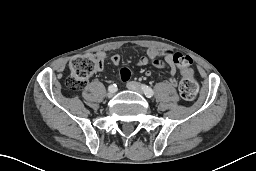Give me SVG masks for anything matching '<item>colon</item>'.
<instances>
[{"mask_svg": "<svg viewBox=\"0 0 256 171\" xmlns=\"http://www.w3.org/2000/svg\"><path fill=\"white\" fill-rule=\"evenodd\" d=\"M177 66L183 73L179 83L180 96L186 101H193L198 92V85L193 76V61L187 55L176 56ZM103 65L102 60L96 54H85L74 57L70 61V76L66 85L70 90L77 91L87 82L89 76L99 70ZM132 71L128 68L121 70V79H130Z\"/></svg>", "mask_w": 256, "mask_h": 171, "instance_id": "1", "label": "colon"}]
</instances>
